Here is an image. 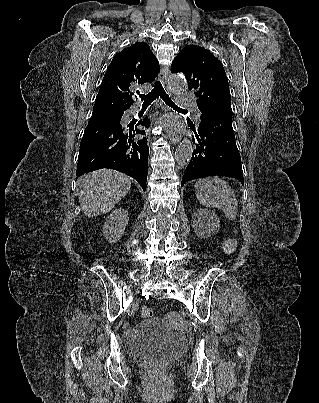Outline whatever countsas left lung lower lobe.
Instances as JSON below:
<instances>
[{"mask_svg": "<svg viewBox=\"0 0 319 403\" xmlns=\"http://www.w3.org/2000/svg\"><path fill=\"white\" fill-rule=\"evenodd\" d=\"M195 132L197 142L181 186L187 181L207 176H226L244 182L241 158L232 127V110L225 108L203 111ZM198 133V134H197Z\"/></svg>", "mask_w": 319, "mask_h": 403, "instance_id": "1", "label": "left lung lower lobe"}]
</instances>
